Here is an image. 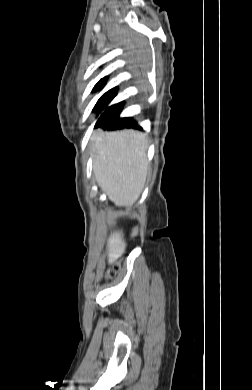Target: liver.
<instances>
[{
    "instance_id": "obj_1",
    "label": "liver",
    "mask_w": 252,
    "mask_h": 390,
    "mask_svg": "<svg viewBox=\"0 0 252 390\" xmlns=\"http://www.w3.org/2000/svg\"><path fill=\"white\" fill-rule=\"evenodd\" d=\"M92 141L93 171L98 186L116 205L134 204L148 172L146 136L134 130H98ZM125 247L121 231L111 234L107 241L108 261L121 256Z\"/></svg>"
}]
</instances>
